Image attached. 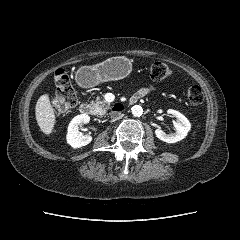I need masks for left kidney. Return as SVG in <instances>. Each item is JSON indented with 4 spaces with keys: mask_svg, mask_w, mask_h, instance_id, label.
I'll return each instance as SVG.
<instances>
[{
    "mask_svg": "<svg viewBox=\"0 0 240 240\" xmlns=\"http://www.w3.org/2000/svg\"><path fill=\"white\" fill-rule=\"evenodd\" d=\"M167 113L176 118V121H173V125L176 129V132L174 135H167L164 131L161 129L155 130V135L158 139L167 142V143H176L182 139H184L187 136V133L189 132L191 128V124L189 120L180 112L169 109Z\"/></svg>",
    "mask_w": 240,
    "mask_h": 240,
    "instance_id": "5707ae66",
    "label": "left kidney"
}]
</instances>
